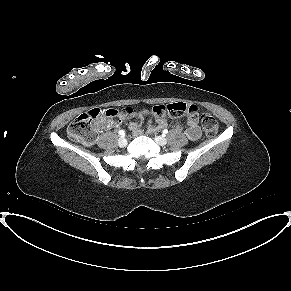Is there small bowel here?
I'll list each match as a JSON object with an SVG mask.
<instances>
[{"mask_svg":"<svg viewBox=\"0 0 291 291\" xmlns=\"http://www.w3.org/2000/svg\"><path fill=\"white\" fill-rule=\"evenodd\" d=\"M126 117L120 116V118L117 121H107L104 123V127H111V126H117L124 122ZM139 119L140 117H136L135 119H132L128 122V127L134 134V136L141 135V128L139 125ZM187 129H186V136L191 141H197L201 137V129L199 126V121L196 114H189L187 121H186ZM166 127V120L164 118H157L155 123H149L147 127L148 133H154L162 128Z\"/></svg>","mask_w":291,"mask_h":291,"instance_id":"c3829d8e","label":"small bowel"}]
</instances>
